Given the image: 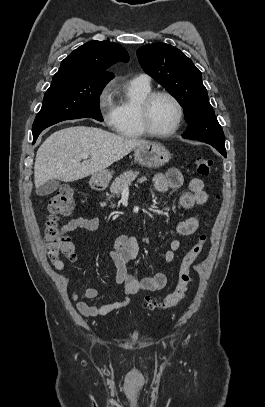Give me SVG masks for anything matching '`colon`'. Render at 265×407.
<instances>
[{"instance_id":"1","label":"colon","mask_w":265,"mask_h":407,"mask_svg":"<svg viewBox=\"0 0 265 407\" xmlns=\"http://www.w3.org/2000/svg\"><path fill=\"white\" fill-rule=\"evenodd\" d=\"M213 165V160L206 156H197L195 166L200 175H208ZM75 206L74 190L64 186L59 188L48 202L50 212L45 229V246L48 256L53 264L62 261L63 258H73V245L70 240L62 235L59 230L60 217L67 216ZM207 235L201 234L198 241L183 257L178 270V280L175 289L162 301L146 297L143 307L150 311L169 310L176 307L188 294L191 284V267L202 254Z\"/></svg>"}]
</instances>
